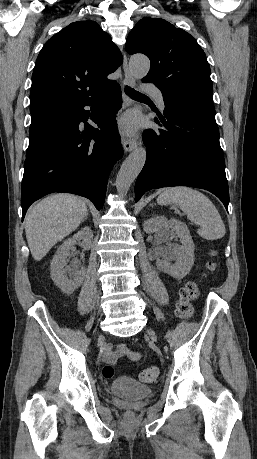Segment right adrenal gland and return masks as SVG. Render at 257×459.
Masks as SVG:
<instances>
[{
  "mask_svg": "<svg viewBox=\"0 0 257 459\" xmlns=\"http://www.w3.org/2000/svg\"><path fill=\"white\" fill-rule=\"evenodd\" d=\"M84 220H87V216L84 218Z\"/></svg>",
  "mask_w": 257,
  "mask_h": 459,
  "instance_id": "1",
  "label": "right adrenal gland"
}]
</instances>
